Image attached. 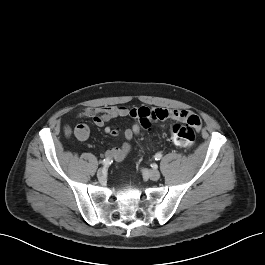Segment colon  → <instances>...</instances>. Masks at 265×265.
<instances>
[{"label":"colon","mask_w":265,"mask_h":265,"mask_svg":"<svg viewBox=\"0 0 265 265\" xmlns=\"http://www.w3.org/2000/svg\"><path fill=\"white\" fill-rule=\"evenodd\" d=\"M164 117V112L161 110L150 111L149 118L150 120L161 119ZM190 123L181 124L176 123L171 128V138L173 143L184 149L191 148L196 140V123L198 120L194 117L190 118Z\"/></svg>","instance_id":"5ec220e1"}]
</instances>
